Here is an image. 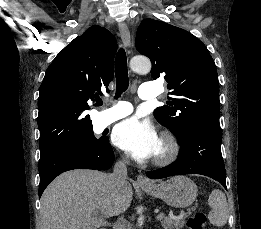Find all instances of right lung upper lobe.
<instances>
[{"label":"right lung upper lobe","mask_w":261,"mask_h":229,"mask_svg":"<svg viewBox=\"0 0 261 229\" xmlns=\"http://www.w3.org/2000/svg\"><path fill=\"white\" fill-rule=\"evenodd\" d=\"M116 39L94 25L65 47L48 67L38 98L40 149L92 131L86 111L113 79Z\"/></svg>","instance_id":"1"}]
</instances>
